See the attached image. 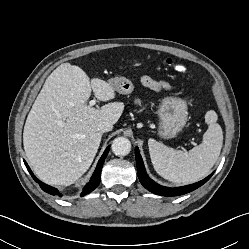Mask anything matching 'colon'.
<instances>
[{
    "mask_svg": "<svg viewBox=\"0 0 249 249\" xmlns=\"http://www.w3.org/2000/svg\"><path fill=\"white\" fill-rule=\"evenodd\" d=\"M166 64L168 65V66H171V67H174L177 71H179V72H184V71H186V66L184 65V64H182V63H176V62H174L172 59H167L166 60Z\"/></svg>",
    "mask_w": 249,
    "mask_h": 249,
    "instance_id": "colon-1",
    "label": "colon"
}]
</instances>
